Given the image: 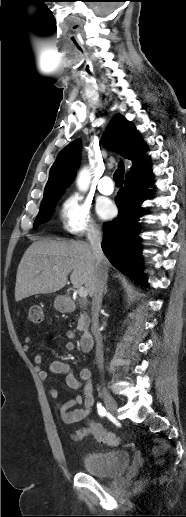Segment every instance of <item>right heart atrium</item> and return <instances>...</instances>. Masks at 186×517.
Returning a JSON list of instances; mask_svg holds the SVG:
<instances>
[{"label":"right heart atrium","instance_id":"d8ad5b80","mask_svg":"<svg viewBox=\"0 0 186 517\" xmlns=\"http://www.w3.org/2000/svg\"><path fill=\"white\" fill-rule=\"evenodd\" d=\"M62 229L74 236H89L98 231L90 204L79 194L67 196L60 205Z\"/></svg>","mask_w":186,"mask_h":517}]
</instances>
